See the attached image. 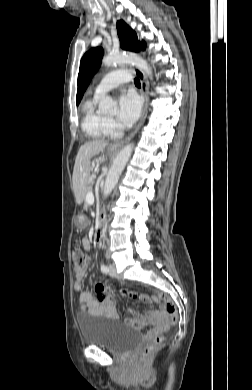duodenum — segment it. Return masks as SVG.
Segmentation results:
<instances>
[{
  "label": "duodenum",
  "mask_w": 252,
  "mask_h": 390,
  "mask_svg": "<svg viewBox=\"0 0 252 390\" xmlns=\"http://www.w3.org/2000/svg\"><path fill=\"white\" fill-rule=\"evenodd\" d=\"M106 230V214L101 212L99 215V228L95 233V241H102Z\"/></svg>",
  "instance_id": "1"
}]
</instances>
